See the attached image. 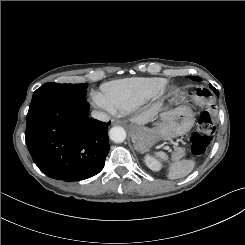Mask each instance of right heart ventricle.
<instances>
[{
  "mask_svg": "<svg viewBox=\"0 0 245 245\" xmlns=\"http://www.w3.org/2000/svg\"><path fill=\"white\" fill-rule=\"evenodd\" d=\"M166 84L160 77H133L105 83L102 95L115 112L129 113L157 94Z\"/></svg>",
  "mask_w": 245,
  "mask_h": 245,
  "instance_id": "1",
  "label": "right heart ventricle"
}]
</instances>
